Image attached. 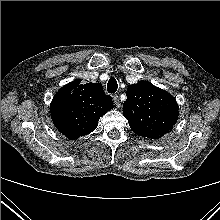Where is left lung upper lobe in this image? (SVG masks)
Returning <instances> with one entry per match:
<instances>
[{
	"instance_id": "5c2ea615",
	"label": "left lung upper lobe",
	"mask_w": 220,
	"mask_h": 220,
	"mask_svg": "<svg viewBox=\"0 0 220 220\" xmlns=\"http://www.w3.org/2000/svg\"><path fill=\"white\" fill-rule=\"evenodd\" d=\"M123 104L124 117L137 135L158 139L171 131L178 105L171 94L147 81L130 85Z\"/></svg>"
}]
</instances>
